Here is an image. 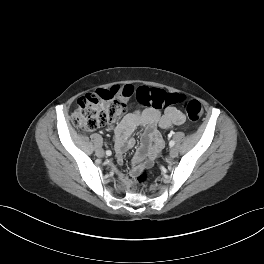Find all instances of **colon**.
I'll return each instance as SVG.
<instances>
[{"mask_svg":"<svg viewBox=\"0 0 264 264\" xmlns=\"http://www.w3.org/2000/svg\"><path fill=\"white\" fill-rule=\"evenodd\" d=\"M135 98L139 104L152 109H164L184 102V108L191 121H198L202 117L203 108L197 100H185L179 93L166 92L162 89L131 85L97 90L82 96L72 113L74 126L83 131H93L107 124L117 121L125 112L126 102ZM148 173L140 172L135 183L143 185L148 181Z\"/></svg>","mask_w":264,"mask_h":264,"instance_id":"5ec220e1","label":"colon"}]
</instances>
